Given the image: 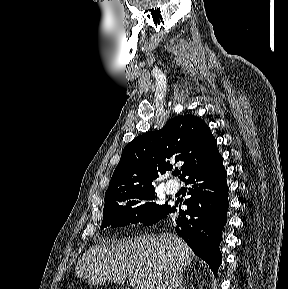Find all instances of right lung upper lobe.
<instances>
[{
	"instance_id": "cb5924a9",
	"label": "right lung upper lobe",
	"mask_w": 288,
	"mask_h": 289,
	"mask_svg": "<svg viewBox=\"0 0 288 289\" xmlns=\"http://www.w3.org/2000/svg\"><path fill=\"white\" fill-rule=\"evenodd\" d=\"M206 123L192 115L175 117L159 131L145 133L126 145L105 194L154 187L152 181L183 161L181 180L218 153Z\"/></svg>"
}]
</instances>
